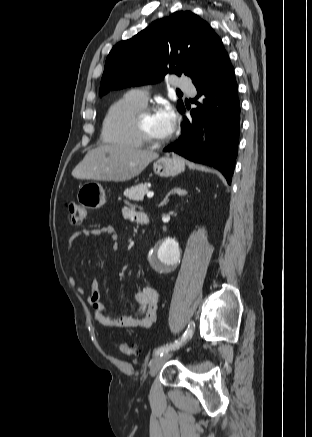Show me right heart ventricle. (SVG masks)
Wrapping results in <instances>:
<instances>
[{"label": "right heart ventricle", "mask_w": 312, "mask_h": 437, "mask_svg": "<svg viewBox=\"0 0 312 437\" xmlns=\"http://www.w3.org/2000/svg\"><path fill=\"white\" fill-rule=\"evenodd\" d=\"M144 105L132 97L130 92L112 103L102 122L103 141L127 148L141 147L142 143L133 128V116Z\"/></svg>", "instance_id": "1"}]
</instances>
